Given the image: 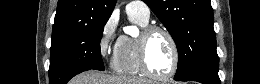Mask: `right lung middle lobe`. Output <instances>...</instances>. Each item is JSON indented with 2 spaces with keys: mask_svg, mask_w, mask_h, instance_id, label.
<instances>
[{
  "mask_svg": "<svg viewBox=\"0 0 260 84\" xmlns=\"http://www.w3.org/2000/svg\"><path fill=\"white\" fill-rule=\"evenodd\" d=\"M107 20L81 25L52 35L49 68L50 84H66L76 74L104 70L100 41Z\"/></svg>",
  "mask_w": 260,
  "mask_h": 84,
  "instance_id": "right-lung-middle-lobe-1",
  "label": "right lung middle lobe"
}]
</instances>
